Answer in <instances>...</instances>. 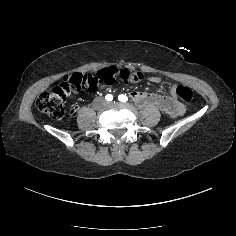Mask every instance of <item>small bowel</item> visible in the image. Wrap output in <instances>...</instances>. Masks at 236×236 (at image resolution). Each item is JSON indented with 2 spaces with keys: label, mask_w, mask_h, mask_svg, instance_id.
<instances>
[{
  "label": "small bowel",
  "mask_w": 236,
  "mask_h": 236,
  "mask_svg": "<svg viewBox=\"0 0 236 236\" xmlns=\"http://www.w3.org/2000/svg\"><path fill=\"white\" fill-rule=\"evenodd\" d=\"M74 110H75V109H73V110L71 111V113L74 112Z\"/></svg>",
  "instance_id": "small-bowel-1"
}]
</instances>
